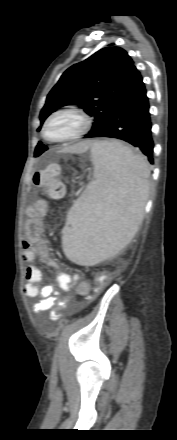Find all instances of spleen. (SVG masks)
Masks as SVG:
<instances>
[{
  "label": "spleen",
  "instance_id": "obj_1",
  "mask_svg": "<svg viewBox=\"0 0 177 440\" xmlns=\"http://www.w3.org/2000/svg\"><path fill=\"white\" fill-rule=\"evenodd\" d=\"M95 180L67 214L62 247L71 261L94 265L119 253L144 216L149 164L119 142L91 149Z\"/></svg>",
  "mask_w": 177,
  "mask_h": 440
}]
</instances>
